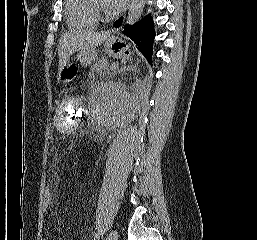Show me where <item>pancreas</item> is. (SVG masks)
Returning <instances> with one entry per match:
<instances>
[{
  "mask_svg": "<svg viewBox=\"0 0 257 240\" xmlns=\"http://www.w3.org/2000/svg\"><path fill=\"white\" fill-rule=\"evenodd\" d=\"M110 65L106 58L98 59L95 64L91 67L89 77L94 78L95 75L104 76L109 73Z\"/></svg>",
  "mask_w": 257,
  "mask_h": 240,
  "instance_id": "obj_1",
  "label": "pancreas"
}]
</instances>
